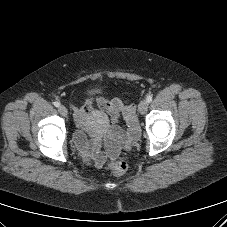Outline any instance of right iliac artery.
<instances>
[{
	"instance_id": "obj_1",
	"label": "right iliac artery",
	"mask_w": 227,
	"mask_h": 227,
	"mask_svg": "<svg viewBox=\"0 0 227 227\" xmlns=\"http://www.w3.org/2000/svg\"><path fill=\"white\" fill-rule=\"evenodd\" d=\"M54 106L55 107H59L60 106V103L56 101V102H54Z\"/></svg>"
}]
</instances>
